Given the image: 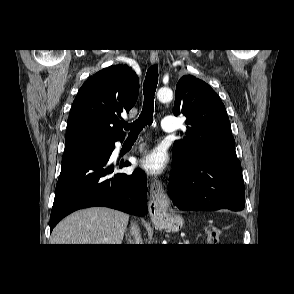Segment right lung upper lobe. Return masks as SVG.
Returning a JSON list of instances; mask_svg holds the SVG:
<instances>
[{
	"label": "right lung upper lobe",
	"instance_id": "cb5924a9",
	"mask_svg": "<svg viewBox=\"0 0 294 294\" xmlns=\"http://www.w3.org/2000/svg\"><path fill=\"white\" fill-rule=\"evenodd\" d=\"M138 93L139 80L130 67L114 65L97 72L82 85L73 101L65 143L123 139L121 113L130 111Z\"/></svg>",
	"mask_w": 294,
	"mask_h": 294
}]
</instances>
